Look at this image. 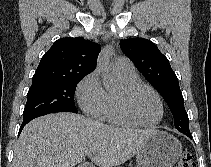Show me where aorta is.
<instances>
[{"label":"aorta","instance_id":"762f6f07","mask_svg":"<svg viewBox=\"0 0 211 167\" xmlns=\"http://www.w3.org/2000/svg\"><path fill=\"white\" fill-rule=\"evenodd\" d=\"M111 52H112L111 48L109 47L104 48L97 60V68L103 73H105L103 83L106 89L111 87V81L107 75L109 72V59H110Z\"/></svg>","mask_w":211,"mask_h":167}]
</instances>
